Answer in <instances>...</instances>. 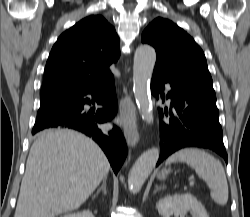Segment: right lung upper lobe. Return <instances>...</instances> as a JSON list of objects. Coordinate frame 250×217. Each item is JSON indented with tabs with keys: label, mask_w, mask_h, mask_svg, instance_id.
I'll use <instances>...</instances> for the list:
<instances>
[{
	"label": "right lung upper lobe",
	"mask_w": 250,
	"mask_h": 217,
	"mask_svg": "<svg viewBox=\"0 0 250 217\" xmlns=\"http://www.w3.org/2000/svg\"><path fill=\"white\" fill-rule=\"evenodd\" d=\"M119 56L115 29L100 15L82 19L58 38L50 52L41 88V105L102 83L112 76L109 66Z\"/></svg>",
	"instance_id": "1"
}]
</instances>
